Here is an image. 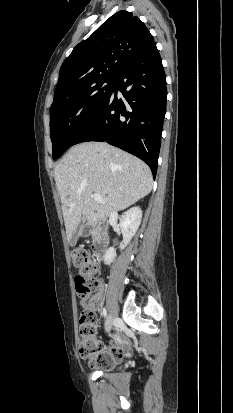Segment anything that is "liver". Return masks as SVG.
I'll return each instance as SVG.
<instances>
[{
	"label": "liver",
	"instance_id": "6515ba94",
	"mask_svg": "<svg viewBox=\"0 0 233 413\" xmlns=\"http://www.w3.org/2000/svg\"><path fill=\"white\" fill-rule=\"evenodd\" d=\"M54 177L68 241L81 221L94 226L148 195L153 185L145 162L106 142L73 146L56 165ZM95 193L103 202L93 199Z\"/></svg>",
	"mask_w": 233,
	"mask_h": 413
}]
</instances>
